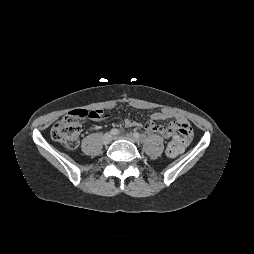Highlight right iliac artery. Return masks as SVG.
Returning <instances> with one entry per match:
<instances>
[{
	"label": "right iliac artery",
	"mask_w": 254,
	"mask_h": 254,
	"mask_svg": "<svg viewBox=\"0 0 254 254\" xmlns=\"http://www.w3.org/2000/svg\"><path fill=\"white\" fill-rule=\"evenodd\" d=\"M110 133H111V135H118L119 134V130L114 128V129H112L110 131Z\"/></svg>",
	"instance_id": "1"
}]
</instances>
